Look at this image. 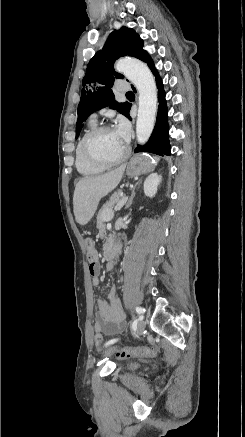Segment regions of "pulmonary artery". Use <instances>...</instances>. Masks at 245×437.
<instances>
[{"label": "pulmonary artery", "mask_w": 245, "mask_h": 437, "mask_svg": "<svg viewBox=\"0 0 245 437\" xmlns=\"http://www.w3.org/2000/svg\"><path fill=\"white\" fill-rule=\"evenodd\" d=\"M116 88H117V91H118V92L123 93V92H127V91H129L131 87H130L129 83H127V82H125V81H119V82L117 83ZM91 120H93V121L96 120V114H92V115H91Z\"/></svg>", "instance_id": "1"}]
</instances>
